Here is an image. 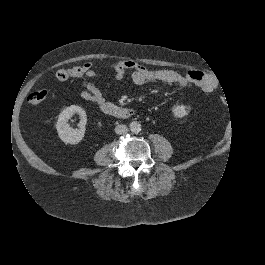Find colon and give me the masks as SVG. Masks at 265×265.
<instances>
[{
	"label": "colon",
	"mask_w": 265,
	"mask_h": 265,
	"mask_svg": "<svg viewBox=\"0 0 265 265\" xmlns=\"http://www.w3.org/2000/svg\"><path fill=\"white\" fill-rule=\"evenodd\" d=\"M86 67L84 65L76 66L70 69H59L55 73V77L59 81H65L72 77H81L85 75ZM47 97V92L45 90H38L31 93L28 97L29 103L37 105L42 103Z\"/></svg>",
	"instance_id": "obj_1"
}]
</instances>
